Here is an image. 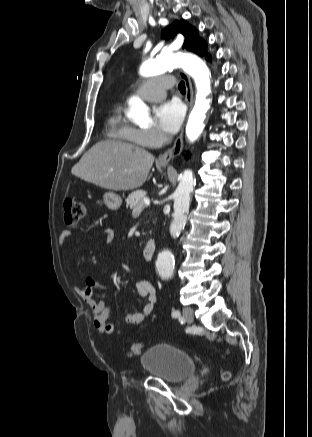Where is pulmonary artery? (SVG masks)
I'll return each mask as SVG.
<instances>
[{
	"label": "pulmonary artery",
	"instance_id": "obj_1",
	"mask_svg": "<svg viewBox=\"0 0 312 437\" xmlns=\"http://www.w3.org/2000/svg\"><path fill=\"white\" fill-rule=\"evenodd\" d=\"M171 76H159L143 82L135 91L136 95L147 101H158L165 97L167 89L173 86Z\"/></svg>",
	"mask_w": 312,
	"mask_h": 437
}]
</instances>
